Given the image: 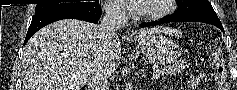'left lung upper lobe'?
Listing matches in <instances>:
<instances>
[{
  "label": "left lung upper lobe",
  "mask_w": 237,
  "mask_h": 90,
  "mask_svg": "<svg viewBox=\"0 0 237 90\" xmlns=\"http://www.w3.org/2000/svg\"><path fill=\"white\" fill-rule=\"evenodd\" d=\"M179 9L177 14H186L199 18L220 21L208 0H176Z\"/></svg>",
  "instance_id": "1"
}]
</instances>
